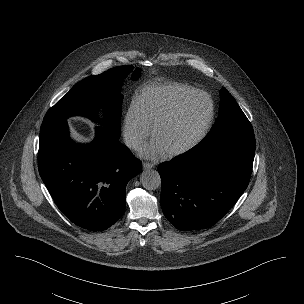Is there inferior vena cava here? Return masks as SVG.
I'll list each match as a JSON object with an SVG mask.
<instances>
[{
    "label": "inferior vena cava",
    "instance_id": "obj_1",
    "mask_svg": "<svg viewBox=\"0 0 304 304\" xmlns=\"http://www.w3.org/2000/svg\"><path fill=\"white\" fill-rule=\"evenodd\" d=\"M124 142H125L126 146H128L129 148H137L140 140L136 136L127 135L124 138Z\"/></svg>",
    "mask_w": 304,
    "mask_h": 304
}]
</instances>
